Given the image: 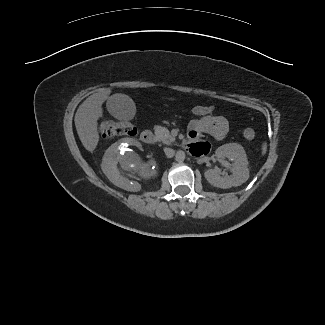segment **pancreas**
I'll return each mask as SVG.
<instances>
[{"label": "pancreas", "mask_w": 325, "mask_h": 325, "mask_svg": "<svg viewBox=\"0 0 325 325\" xmlns=\"http://www.w3.org/2000/svg\"><path fill=\"white\" fill-rule=\"evenodd\" d=\"M154 132L157 140L164 144H171L175 140V137L172 136L169 130L165 127L155 126Z\"/></svg>", "instance_id": "pancreas-1"}]
</instances>
